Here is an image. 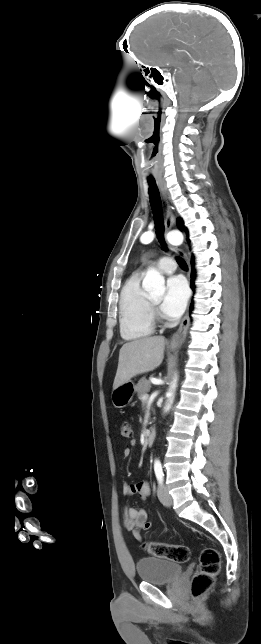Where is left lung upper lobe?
<instances>
[{"label": "left lung upper lobe", "instance_id": "1", "mask_svg": "<svg viewBox=\"0 0 261 644\" xmlns=\"http://www.w3.org/2000/svg\"><path fill=\"white\" fill-rule=\"evenodd\" d=\"M176 222H177V225H178V227H179L180 229H183V230H185V232H187V229L184 227V225H183V221H182L181 219L177 218V221H176Z\"/></svg>", "mask_w": 261, "mask_h": 644}]
</instances>
